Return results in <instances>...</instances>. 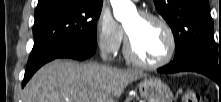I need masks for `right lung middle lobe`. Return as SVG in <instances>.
I'll list each match as a JSON object with an SVG mask.
<instances>
[{
	"label": "right lung middle lobe",
	"mask_w": 221,
	"mask_h": 102,
	"mask_svg": "<svg viewBox=\"0 0 221 102\" xmlns=\"http://www.w3.org/2000/svg\"><path fill=\"white\" fill-rule=\"evenodd\" d=\"M102 4L85 0H50L37 5L33 27L34 46L28 61L54 46L68 42L96 48V21Z\"/></svg>",
	"instance_id": "1"
}]
</instances>
